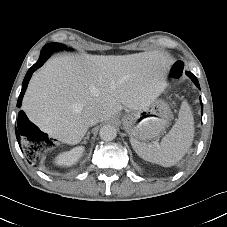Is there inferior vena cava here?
<instances>
[{
    "label": "inferior vena cava",
    "instance_id": "obj_1",
    "mask_svg": "<svg viewBox=\"0 0 227 227\" xmlns=\"http://www.w3.org/2000/svg\"><path fill=\"white\" fill-rule=\"evenodd\" d=\"M86 117L88 126H93L99 121L98 113L94 111L88 112Z\"/></svg>",
    "mask_w": 227,
    "mask_h": 227
}]
</instances>
